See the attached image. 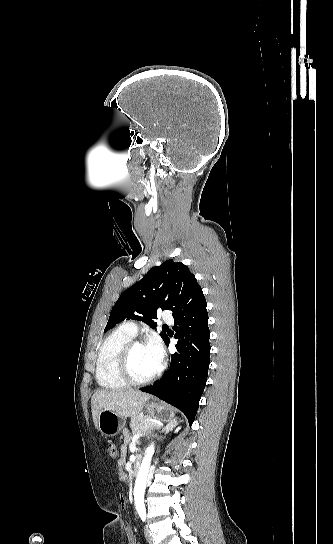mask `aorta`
<instances>
[{"label": "aorta", "mask_w": 333, "mask_h": 544, "mask_svg": "<svg viewBox=\"0 0 333 544\" xmlns=\"http://www.w3.org/2000/svg\"><path fill=\"white\" fill-rule=\"evenodd\" d=\"M154 454V445H150L145 452L143 457L136 482L134 487V501L137 509H143L144 505V494L147 485V475L150 469L152 456Z\"/></svg>", "instance_id": "762f6f07"}]
</instances>
